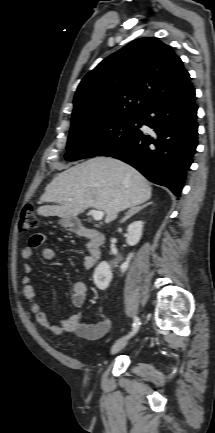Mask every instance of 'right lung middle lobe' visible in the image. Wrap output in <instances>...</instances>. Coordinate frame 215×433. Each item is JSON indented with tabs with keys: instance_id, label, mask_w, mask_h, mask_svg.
Here are the masks:
<instances>
[{
	"instance_id": "1",
	"label": "right lung middle lobe",
	"mask_w": 215,
	"mask_h": 433,
	"mask_svg": "<svg viewBox=\"0 0 215 433\" xmlns=\"http://www.w3.org/2000/svg\"><path fill=\"white\" fill-rule=\"evenodd\" d=\"M141 125L142 116H122L72 125L65 158L75 161L104 155L134 139L140 133Z\"/></svg>"
}]
</instances>
